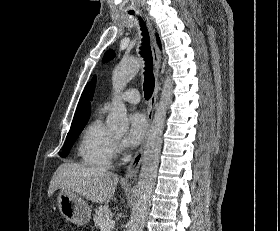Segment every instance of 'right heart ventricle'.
<instances>
[{
	"mask_svg": "<svg viewBox=\"0 0 280 231\" xmlns=\"http://www.w3.org/2000/svg\"><path fill=\"white\" fill-rule=\"evenodd\" d=\"M112 147V135L98 116L84 128L77 145V154L84 166L106 169L112 159Z\"/></svg>",
	"mask_w": 280,
	"mask_h": 231,
	"instance_id": "right-heart-ventricle-1",
	"label": "right heart ventricle"
}]
</instances>
